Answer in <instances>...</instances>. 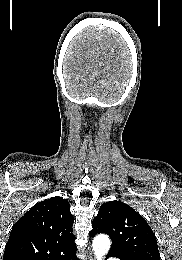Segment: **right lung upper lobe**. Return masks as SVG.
<instances>
[{
	"mask_svg": "<svg viewBox=\"0 0 182 260\" xmlns=\"http://www.w3.org/2000/svg\"><path fill=\"white\" fill-rule=\"evenodd\" d=\"M67 200L56 196L34 205L13 226L3 260H52L77 250Z\"/></svg>",
	"mask_w": 182,
	"mask_h": 260,
	"instance_id": "right-lung-upper-lobe-1",
	"label": "right lung upper lobe"
}]
</instances>
